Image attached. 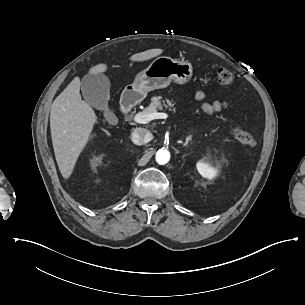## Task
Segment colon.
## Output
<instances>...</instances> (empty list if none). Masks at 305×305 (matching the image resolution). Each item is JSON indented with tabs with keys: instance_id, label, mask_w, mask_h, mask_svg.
<instances>
[{
	"instance_id": "obj_1",
	"label": "colon",
	"mask_w": 305,
	"mask_h": 305,
	"mask_svg": "<svg viewBox=\"0 0 305 305\" xmlns=\"http://www.w3.org/2000/svg\"><path fill=\"white\" fill-rule=\"evenodd\" d=\"M216 81L221 86H229L233 82V75L228 69L219 68L216 71ZM230 132L234 139L240 143L252 146L256 144L254 131H245L238 128H232Z\"/></svg>"
}]
</instances>
